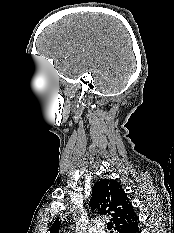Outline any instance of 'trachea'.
I'll list each match as a JSON object with an SVG mask.
<instances>
[{
  "label": "trachea",
  "mask_w": 174,
  "mask_h": 233,
  "mask_svg": "<svg viewBox=\"0 0 174 233\" xmlns=\"http://www.w3.org/2000/svg\"><path fill=\"white\" fill-rule=\"evenodd\" d=\"M107 229L110 231V233H113L112 229H113V224L112 222H108L107 223Z\"/></svg>",
  "instance_id": "3493384b"
}]
</instances>
